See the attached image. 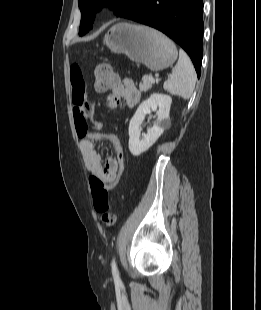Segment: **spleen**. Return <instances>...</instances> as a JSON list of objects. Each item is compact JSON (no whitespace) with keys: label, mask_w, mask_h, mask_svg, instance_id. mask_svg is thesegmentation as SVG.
<instances>
[{"label":"spleen","mask_w":261,"mask_h":310,"mask_svg":"<svg viewBox=\"0 0 261 310\" xmlns=\"http://www.w3.org/2000/svg\"><path fill=\"white\" fill-rule=\"evenodd\" d=\"M197 75L194 66L183 51H179V60L172 69L171 77L164 82L163 88L172 95L189 99L194 91Z\"/></svg>","instance_id":"1"}]
</instances>
